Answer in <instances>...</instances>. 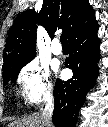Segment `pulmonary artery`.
Masks as SVG:
<instances>
[{
  "label": "pulmonary artery",
  "mask_w": 108,
  "mask_h": 127,
  "mask_svg": "<svg viewBox=\"0 0 108 127\" xmlns=\"http://www.w3.org/2000/svg\"><path fill=\"white\" fill-rule=\"evenodd\" d=\"M51 51L54 55L62 54V47L58 40H54L51 46Z\"/></svg>",
  "instance_id": "e3ab8cb5"
}]
</instances>
